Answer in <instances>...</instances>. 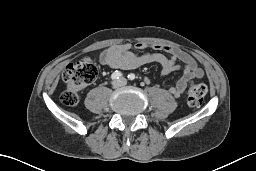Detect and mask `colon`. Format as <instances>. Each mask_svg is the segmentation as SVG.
Here are the masks:
<instances>
[{
    "instance_id": "1",
    "label": "colon",
    "mask_w": 256,
    "mask_h": 171,
    "mask_svg": "<svg viewBox=\"0 0 256 171\" xmlns=\"http://www.w3.org/2000/svg\"><path fill=\"white\" fill-rule=\"evenodd\" d=\"M97 73V66L89 58L70 63L62 74L65 83V90L61 94L62 103L67 106L76 105L81 90L95 80ZM207 90L206 84L191 82L188 87V105L192 108L200 107Z\"/></svg>"
}]
</instances>
